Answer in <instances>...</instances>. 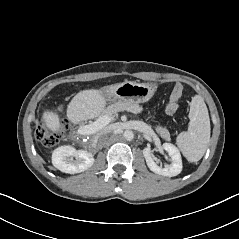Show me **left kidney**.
<instances>
[{
  "label": "left kidney",
  "mask_w": 239,
  "mask_h": 239,
  "mask_svg": "<svg viewBox=\"0 0 239 239\" xmlns=\"http://www.w3.org/2000/svg\"><path fill=\"white\" fill-rule=\"evenodd\" d=\"M162 147L168 152L172 163L165 167L158 166L155 162V158L151 155V149L146 147L143 150V156L146 159L147 166L158 175L168 177L177 176L182 171V159L179 150L171 143H164Z\"/></svg>",
  "instance_id": "5707ae66"
}]
</instances>
